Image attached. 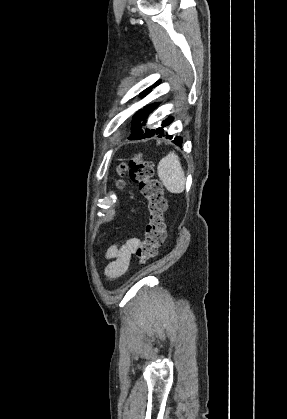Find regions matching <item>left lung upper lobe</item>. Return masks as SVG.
Segmentation results:
<instances>
[{
	"label": "left lung upper lobe",
	"instance_id": "1",
	"mask_svg": "<svg viewBox=\"0 0 287 419\" xmlns=\"http://www.w3.org/2000/svg\"><path fill=\"white\" fill-rule=\"evenodd\" d=\"M159 83H160V81H158V82L156 83V85H158ZM150 91H151V88L146 89L143 93H141V95L148 94Z\"/></svg>",
	"mask_w": 287,
	"mask_h": 419
}]
</instances>
